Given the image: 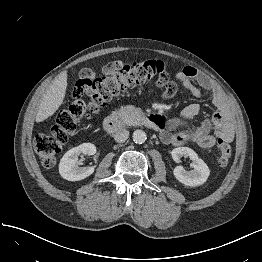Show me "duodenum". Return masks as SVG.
<instances>
[{
    "label": "duodenum",
    "mask_w": 262,
    "mask_h": 262,
    "mask_svg": "<svg viewBox=\"0 0 262 262\" xmlns=\"http://www.w3.org/2000/svg\"><path fill=\"white\" fill-rule=\"evenodd\" d=\"M160 123L155 118H150L145 122V125L150 128H155ZM125 127V123L119 117L108 116L103 121V128L108 133H115Z\"/></svg>",
    "instance_id": "410a0bca"
}]
</instances>
